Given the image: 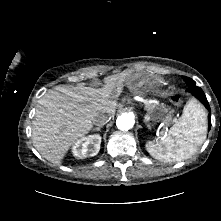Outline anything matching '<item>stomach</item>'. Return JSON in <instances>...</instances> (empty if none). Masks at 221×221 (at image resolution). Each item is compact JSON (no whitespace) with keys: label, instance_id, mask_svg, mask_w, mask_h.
<instances>
[{"label":"stomach","instance_id":"obj_1","mask_svg":"<svg viewBox=\"0 0 221 221\" xmlns=\"http://www.w3.org/2000/svg\"><path fill=\"white\" fill-rule=\"evenodd\" d=\"M121 79L134 96H146L150 91H161L165 89L167 82L165 78L150 72H139L127 70L123 72Z\"/></svg>","mask_w":221,"mask_h":221}]
</instances>
